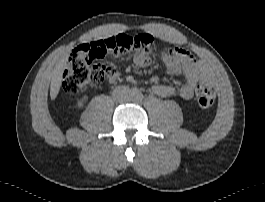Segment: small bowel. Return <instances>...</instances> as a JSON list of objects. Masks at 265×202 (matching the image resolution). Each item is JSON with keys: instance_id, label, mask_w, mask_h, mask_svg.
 <instances>
[{"instance_id": "small-bowel-1", "label": "small bowel", "mask_w": 265, "mask_h": 202, "mask_svg": "<svg viewBox=\"0 0 265 202\" xmlns=\"http://www.w3.org/2000/svg\"><path fill=\"white\" fill-rule=\"evenodd\" d=\"M149 36L152 37L151 35ZM92 43L87 42L79 45L75 48L74 54L77 56L90 55L93 57H102L104 54L95 50L92 47ZM162 60L168 73L182 74L185 81L178 89L172 85L155 84L153 86V92L160 97L166 98L178 95L184 100H191L194 97L197 85L210 81L204 64L184 52L180 47L165 49L162 54ZM134 63L143 67L150 65L151 60L144 52H138L134 55ZM118 81L119 78L110 83L116 84ZM126 81L132 83L134 82V77L129 75L126 77ZM153 81L156 82V79Z\"/></svg>"}]
</instances>
